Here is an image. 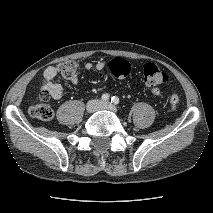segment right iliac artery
<instances>
[{
    "label": "right iliac artery",
    "mask_w": 213,
    "mask_h": 213,
    "mask_svg": "<svg viewBox=\"0 0 213 213\" xmlns=\"http://www.w3.org/2000/svg\"><path fill=\"white\" fill-rule=\"evenodd\" d=\"M101 98H102L103 101H108L110 96H109V94L105 93V94L102 95Z\"/></svg>",
    "instance_id": "82829eb1"
}]
</instances>
